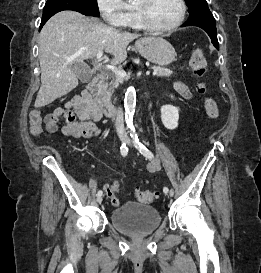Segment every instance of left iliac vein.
<instances>
[{"mask_svg": "<svg viewBox=\"0 0 261 273\" xmlns=\"http://www.w3.org/2000/svg\"><path fill=\"white\" fill-rule=\"evenodd\" d=\"M127 143H128L129 145H132V142H131L130 139H127ZM169 195H170V196H173V195H174V191H173L172 189L170 190Z\"/></svg>", "mask_w": 261, "mask_h": 273, "instance_id": "4c4485c4", "label": "left iliac vein"}]
</instances>
